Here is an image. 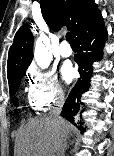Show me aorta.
I'll return each instance as SVG.
<instances>
[{"mask_svg":"<svg viewBox=\"0 0 114 156\" xmlns=\"http://www.w3.org/2000/svg\"><path fill=\"white\" fill-rule=\"evenodd\" d=\"M34 59L42 69L49 67L52 61V53L50 50L49 39L47 36L41 34L36 41L34 49Z\"/></svg>","mask_w":114,"mask_h":156,"instance_id":"1","label":"aorta"}]
</instances>
